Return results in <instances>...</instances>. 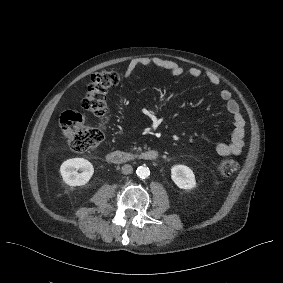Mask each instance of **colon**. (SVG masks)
<instances>
[{
  "label": "colon",
  "instance_id": "colon-1",
  "mask_svg": "<svg viewBox=\"0 0 283 283\" xmlns=\"http://www.w3.org/2000/svg\"><path fill=\"white\" fill-rule=\"evenodd\" d=\"M122 74L116 70H103L92 76L84 98L82 108L97 116L102 125L92 127L86 123L85 117L77 111H65L60 117V127L64 139L77 152H87L99 146L104 138L103 125L107 119V92L118 85ZM238 163L234 159H223L217 173L222 177H231L238 170Z\"/></svg>",
  "mask_w": 283,
  "mask_h": 283
}]
</instances>
